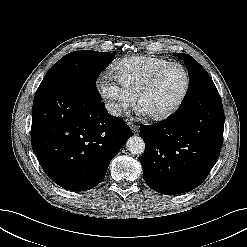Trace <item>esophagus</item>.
<instances>
[{
	"label": "esophagus",
	"mask_w": 247,
	"mask_h": 247,
	"mask_svg": "<svg viewBox=\"0 0 247 247\" xmlns=\"http://www.w3.org/2000/svg\"><path fill=\"white\" fill-rule=\"evenodd\" d=\"M129 125H130V127H131L133 133H134V134H137L138 131H139V126L136 125V124H133V123H131V124H129Z\"/></svg>",
	"instance_id": "esophagus-1"
}]
</instances>
